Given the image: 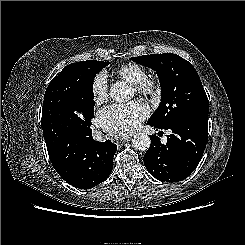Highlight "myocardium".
I'll list each match as a JSON object with an SVG mask.
<instances>
[{"label":"myocardium","mask_w":245,"mask_h":245,"mask_svg":"<svg viewBox=\"0 0 245 245\" xmlns=\"http://www.w3.org/2000/svg\"><path fill=\"white\" fill-rule=\"evenodd\" d=\"M134 91L143 96H155L160 92L159 81L154 77L146 76L141 81L132 84Z\"/></svg>","instance_id":"myocardium-1"}]
</instances>
